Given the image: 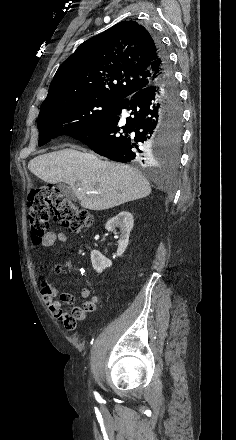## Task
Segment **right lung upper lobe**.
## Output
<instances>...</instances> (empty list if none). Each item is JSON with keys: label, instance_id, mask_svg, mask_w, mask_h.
<instances>
[{"label": "right lung upper lobe", "instance_id": "obj_1", "mask_svg": "<svg viewBox=\"0 0 236 440\" xmlns=\"http://www.w3.org/2000/svg\"><path fill=\"white\" fill-rule=\"evenodd\" d=\"M151 34L135 21H122L83 42L58 68L44 102L96 97L121 102L162 74Z\"/></svg>", "mask_w": 236, "mask_h": 440}]
</instances>
